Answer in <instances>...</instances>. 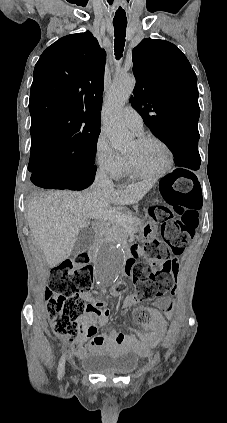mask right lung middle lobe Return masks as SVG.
<instances>
[{"instance_id":"obj_1","label":"right lung middle lobe","mask_w":227,"mask_h":423,"mask_svg":"<svg viewBox=\"0 0 227 423\" xmlns=\"http://www.w3.org/2000/svg\"><path fill=\"white\" fill-rule=\"evenodd\" d=\"M99 133L89 135L74 146L31 152L28 170L35 172L45 169L44 164L50 159L70 162L85 170H96L94 158Z\"/></svg>"}]
</instances>
